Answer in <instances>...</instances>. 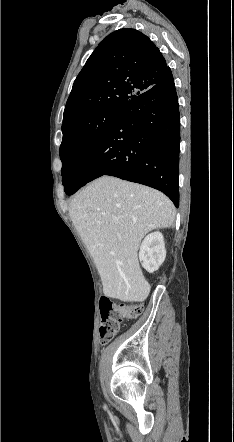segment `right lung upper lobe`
Here are the masks:
<instances>
[{
	"label": "right lung upper lobe",
	"mask_w": 234,
	"mask_h": 442,
	"mask_svg": "<svg viewBox=\"0 0 234 442\" xmlns=\"http://www.w3.org/2000/svg\"><path fill=\"white\" fill-rule=\"evenodd\" d=\"M155 44L135 29H119L94 50L78 74L63 115L62 129L89 113L122 107L155 85L167 69Z\"/></svg>",
	"instance_id": "obj_1"
}]
</instances>
